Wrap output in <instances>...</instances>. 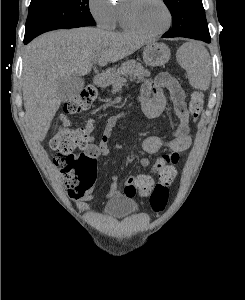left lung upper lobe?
Segmentation results:
<instances>
[{"mask_svg": "<svg viewBox=\"0 0 245 300\" xmlns=\"http://www.w3.org/2000/svg\"><path fill=\"white\" fill-rule=\"evenodd\" d=\"M171 12L172 29L164 35L183 36L186 34L208 33L202 0H163Z\"/></svg>", "mask_w": 245, "mask_h": 300, "instance_id": "5c2ea615", "label": "left lung upper lobe"}]
</instances>
